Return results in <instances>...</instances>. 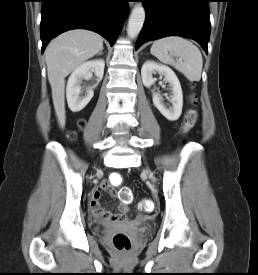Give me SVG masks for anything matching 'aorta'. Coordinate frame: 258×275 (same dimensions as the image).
Segmentation results:
<instances>
[{"mask_svg":"<svg viewBox=\"0 0 258 275\" xmlns=\"http://www.w3.org/2000/svg\"><path fill=\"white\" fill-rule=\"evenodd\" d=\"M145 21V9L142 4H136L128 21V37L134 39L138 36Z\"/></svg>","mask_w":258,"mask_h":275,"instance_id":"1","label":"aorta"}]
</instances>
